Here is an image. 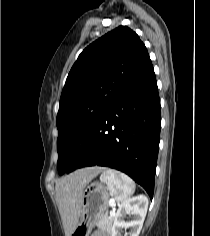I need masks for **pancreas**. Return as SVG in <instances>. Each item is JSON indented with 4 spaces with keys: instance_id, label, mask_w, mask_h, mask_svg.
I'll list each match as a JSON object with an SVG mask.
<instances>
[{
    "instance_id": "1",
    "label": "pancreas",
    "mask_w": 210,
    "mask_h": 236,
    "mask_svg": "<svg viewBox=\"0 0 210 236\" xmlns=\"http://www.w3.org/2000/svg\"><path fill=\"white\" fill-rule=\"evenodd\" d=\"M114 221V215L113 216H108L107 213L103 214L101 219L96 223L97 227L100 229H103L105 231H110L112 229V223Z\"/></svg>"
}]
</instances>
